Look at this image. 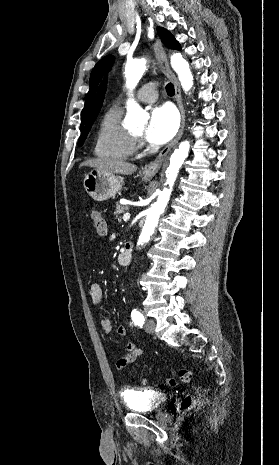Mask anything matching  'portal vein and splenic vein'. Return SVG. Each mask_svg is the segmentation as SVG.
<instances>
[{"label": "portal vein and splenic vein", "mask_w": 279, "mask_h": 465, "mask_svg": "<svg viewBox=\"0 0 279 465\" xmlns=\"http://www.w3.org/2000/svg\"><path fill=\"white\" fill-rule=\"evenodd\" d=\"M130 216H131V215H130L129 213L124 214V215H123V220H124L125 222L128 221V220L130 219Z\"/></svg>", "instance_id": "portal-vein-and-splenic-vein-1"}]
</instances>
